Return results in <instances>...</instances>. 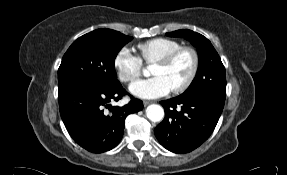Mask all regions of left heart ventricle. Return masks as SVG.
<instances>
[{
    "label": "left heart ventricle",
    "instance_id": "obj_1",
    "mask_svg": "<svg viewBox=\"0 0 287 175\" xmlns=\"http://www.w3.org/2000/svg\"><path fill=\"white\" fill-rule=\"evenodd\" d=\"M192 56L185 52L180 54L171 64H154L151 74L163 76L172 89L182 84L192 69Z\"/></svg>",
    "mask_w": 287,
    "mask_h": 175
}]
</instances>
